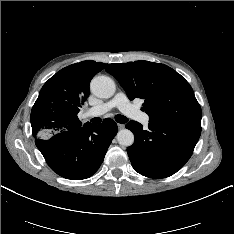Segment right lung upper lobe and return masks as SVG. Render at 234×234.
<instances>
[{"mask_svg":"<svg viewBox=\"0 0 234 234\" xmlns=\"http://www.w3.org/2000/svg\"><path fill=\"white\" fill-rule=\"evenodd\" d=\"M106 65L91 60L75 63L58 71L44 84L30 117L36 139L82 126L77 117L79 108L90 94L91 79Z\"/></svg>","mask_w":234,"mask_h":234,"instance_id":"1","label":"right lung upper lobe"}]
</instances>
